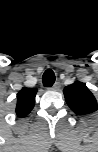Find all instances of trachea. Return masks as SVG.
<instances>
[{
    "label": "trachea",
    "instance_id": "trachea-1",
    "mask_svg": "<svg viewBox=\"0 0 98 152\" xmlns=\"http://www.w3.org/2000/svg\"><path fill=\"white\" fill-rule=\"evenodd\" d=\"M43 85L46 87H51L55 82V74L51 69L44 72L42 76Z\"/></svg>",
    "mask_w": 98,
    "mask_h": 152
}]
</instances>
